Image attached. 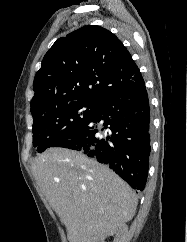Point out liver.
Wrapping results in <instances>:
<instances>
[{
    "label": "liver",
    "mask_w": 187,
    "mask_h": 242,
    "mask_svg": "<svg viewBox=\"0 0 187 242\" xmlns=\"http://www.w3.org/2000/svg\"><path fill=\"white\" fill-rule=\"evenodd\" d=\"M32 173L66 226L69 242H89L135 215L136 193L107 166L80 152L48 149L33 161Z\"/></svg>",
    "instance_id": "liver-1"
}]
</instances>
